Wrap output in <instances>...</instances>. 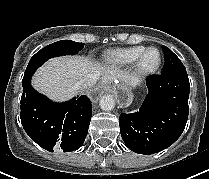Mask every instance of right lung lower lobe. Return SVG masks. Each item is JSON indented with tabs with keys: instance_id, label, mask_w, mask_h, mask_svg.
<instances>
[{
	"instance_id": "98d812e1",
	"label": "right lung lower lobe",
	"mask_w": 209,
	"mask_h": 179,
	"mask_svg": "<svg viewBox=\"0 0 209 179\" xmlns=\"http://www.w3.org/2000/svg\"><path fill=\"white\" fill-rule=\"evenodd\" d=\"M31 77L22 81L20 118L28 136L53 152L79 149L88 133L92 115L89 98L82 95L65 103H55L31 86Z\"/></svg>"
}]
</instances>
